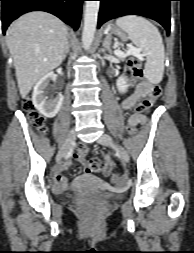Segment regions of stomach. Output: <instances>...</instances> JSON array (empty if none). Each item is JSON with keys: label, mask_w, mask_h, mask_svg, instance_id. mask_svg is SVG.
Returning <instances> with one entry per match:
<instances>
[{"label": "stomach", "mask_w": 194, "mask_h": 253, "mask_svg": "<svg viewBox=\"0 0 194 253\" xmlns=\"http://www.w3.org/2000/svg\"><path fill=\"white\" fill-rule=\"evenodd\" d=\"M107 30L110 32V34H114V35L118 36L123 41H126L128 39L127 35L122 30L117 28L116 26H108Z\"/></svg>", "instance_id": "1"}]
</instances>
